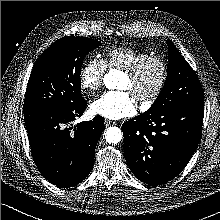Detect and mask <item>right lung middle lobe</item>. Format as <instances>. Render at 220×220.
<instances>
[{
  "instance_id": "dd1d6c3e",
  "label": "right lung middle lobe",
  "mask_w": 220,
  "mask_h": 220,
  "mask_svg": "<svg viewBox=\"0 0 220 220\" xmlns=\"http://www.w3.org/2000/svg\"><path fill=\"white\" fill-rule=\"evenodd\" d=\"M101 42L66 36L55 41L37 60L31 72L24 111L41 107L74 108L84 101L80 71L84 57Z\"/></svg>"
}]
</instances>
